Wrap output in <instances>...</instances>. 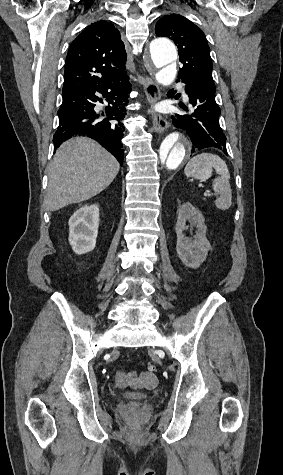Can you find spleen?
Here are the masks:
<instances>
[{"instance_id":"obj_1","label":"spleen","mask_w":283,"mask_h":475,"mask_svg":"<svg viewBox=\"0 0 283 475\" xmlns=\"http://www.w3.org/2000/svg\"><path fill=\"white\" fill-rule=\"evenodd\" d=\"M213 170L218 174L212 184L214 192L219 194V198L215 200V206L219 210H229L232 204V190L229 184L230 174L225 162L219 156H215V154L194 156L189 160L184 174L187 178L208 180V178H211Z\"/></svg>"}]
</instances>
